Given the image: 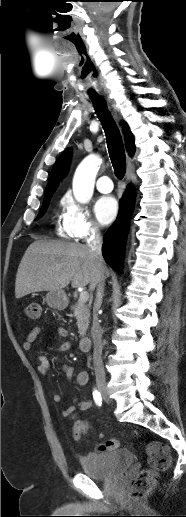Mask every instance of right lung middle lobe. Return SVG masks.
<instances>
[{
    "instance_id": "1",
    "label": "right lung middle lobe",
    "mask_w": 186,
    "mask_h": 517,
    "mask_svg": "<svg viewBox=\"0 0 186 517\" xmlns=\"http://www.w3.org/2000/svg\"><path fill=\"white\" fill-rule=\"evenodd\" d=\"M52 193H54V192H49V193L45 194L44 204L42 205V208H41V210H40V212H39V214H38L36 219L40 218L46 212V209H47V206H48L46 203L50 200V198L52 196Z\"/></svg>"
}]
</instances>
